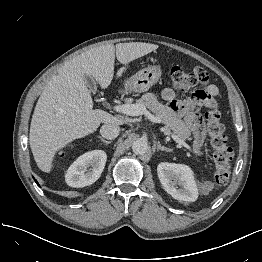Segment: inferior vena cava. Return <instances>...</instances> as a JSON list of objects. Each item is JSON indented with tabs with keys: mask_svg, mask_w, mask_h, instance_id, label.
I'll list each match as a JSON object with an SVG mask.
<instances>
[{
	"mask_svg": "<svg viewBox=\"0 0 262 262\" xmlns=\"http://www.w3.org/2000/svg\"><path fill=\"white\" fill-rule=\"evenodd\" d=\"M120 132V128L117 124L109 123L102 125L100 134L106 139H115Z\"/></svg>",
	"mask_w": 262,
	"mask_h": 262,
	"instance_id": "inferior-vena-cava-1",
	"label": "inferior vena cava"
}]
</instances>
